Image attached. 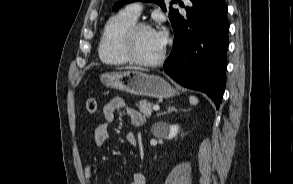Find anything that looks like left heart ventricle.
<instances>
[{"label":"left heart ventricle","mask_w":293,"mask_h":184,"mask_svg":"<svg viewBox=\"0 0 293 184\" xmlns=\"http://www.w3.org/2000/svg\"><path fill=\"white\" fill-rule=\"evenodd\" d=\"M134 49L139 58L152 60L159 56L163 48L157 42L153 30L141 29L135 36Z\"/></svg>","instance_id":"1"}]
</instances>
